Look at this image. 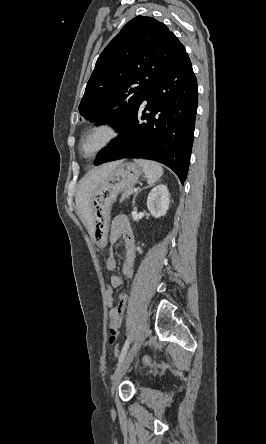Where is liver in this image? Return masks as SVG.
Instances as JSON below:
<instances>
[{
  "mask_svg": "<svg viewBox=\"0 0 266 444\" xmlns=\"http://www.w3.org/2000/svg\"><path fill=\"white\" fill-rule=\"evenodd\" d=\"M120 162H111L93 169L88 172L79 182L76 194L77 208L86 222V227L91 236H93L92 222L90 215V201L95 189L105 180L108 175L118 166Z\"/></svg>",
  "mask_w": 266,
  "mask_h": 444,
  "instance_id": "liver-1",
  "label": "liver"
}]
</instances>
